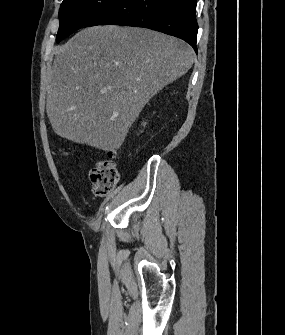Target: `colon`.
I'll return each mask as SVG.
<instances>
[{
    "mask_svg": "<svg viewBox=\"0 0 285 335\" xmlns=\"http://www.w3.org/2000/svg\"><path fill=\"white\" fill-rule=\"evenodd\" d=\"M90 180L93 191L97 196L109 194L120 180V171L114 161V154L109 153L108 158L99 161L90 171Z\"/></svg>",
    "mask_w": 285,
    "mask_h": 335,
    "instance_id": "5ec220e1",
    "label": "colon"
}]
</instances>
